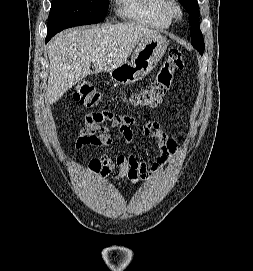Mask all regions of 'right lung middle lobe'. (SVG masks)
<instances>
[{
    "label": "right lung middle lobe",
    "instance_id": "1",
    "mask_svg": "<svg viewBox=\"0 0 253 271\" xmlns=\"http://www.w3.org/2000/svg\"><path fill=\"white\" fill-rule=\"evenodd\" d=\"M108 0H52L47 35L63 29L101 22L105 18Z\"/></svg>",
    "mask_w": 253,
    "mask_h": 271
}]
</instances>
